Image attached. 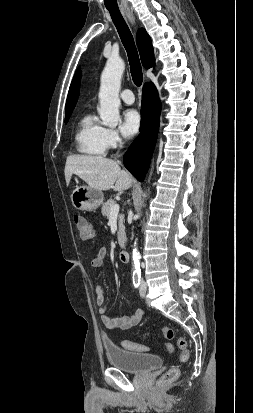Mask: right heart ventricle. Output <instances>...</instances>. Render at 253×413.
<instances>
[{
  "label": "right heart ventricle",
  "instance_id": "right-heart-ventricle-1",
  "mask_svg": "<svg viewBox=\"0 0 253 413\" xmlns=\"http://www.w3.org/2000/svg\"><path fill=\"white\" fill-rule=\"evenodd\" d=\"M104 130L105 128L93 114H84L75 132L77 151L87 156H104L107 150L104 143Z\"/></svg>",
  "mask_w": 253,
  "mask_h": 413
}]
</instances>
